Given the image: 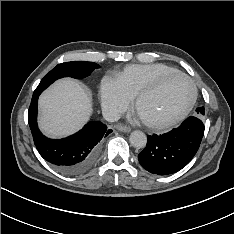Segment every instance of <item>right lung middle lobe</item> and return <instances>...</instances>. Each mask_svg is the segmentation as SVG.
Returning a JSON list of instances; mask_svg holds the SVG:
<instances>
[{
	"label": "right lung middle lobe",
	"mask_w": 234,
	"mask_h": 234,
	"mask_svg": "<svg viewBox=\"0 0 234 234\" xmlns=\"http://www.w3.org/2000/svg\"><path fill=\"white\" fill-rule=\"evenodd\" d=\"M99 67L100 66L94 62L86 61H72L58 64L54 69L45 75L34 91V94H41L43 90H45L50 84L59 78L73 77L76 79H82L89 76L94 69Z\"/></svg>",
	"instance_id": "1"
}]
</instances>
